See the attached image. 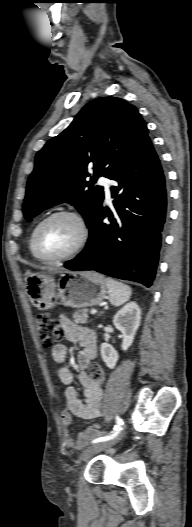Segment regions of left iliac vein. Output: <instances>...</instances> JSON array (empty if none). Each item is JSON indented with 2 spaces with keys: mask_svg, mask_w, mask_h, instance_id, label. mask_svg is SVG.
<instances>
[{
  "mask_svg": "<svg viewBox=\"0 0 192 527\" xmlns=\"http://www.w3.org/2000/svg\"><path fill=\"white\" fill-rule=\"evenodd\" d=\"M123 435H124V431L122 430L113 439L108 440V441H104V442H99V443H96V444L88 447L86 450H84L82 452V454H81V456L79 458V461L88 460L89 458H91L95 454H98L99 452H101V451H103V450L115 445L117 442H119L121 440Z\"/></svg>",
  "mask_w": 192,
  "mask_h": 527,
  "instance_id": "left-iliac-vein-1",
  "label": "left iliac vein"
}]
</instances>
